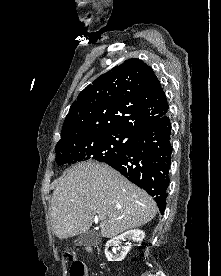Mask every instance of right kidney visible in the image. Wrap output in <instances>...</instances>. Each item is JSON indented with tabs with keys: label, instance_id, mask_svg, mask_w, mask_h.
<instances>
[{
	"label": "right kidney",
	"instance_id": "obj_1",
	"mask_svg": "<svg viewBox=\"0 0 221 276\" xmlns=\"http://www.w3.org/2000/svg\"><path fill=\"white\" fill-rule=\"evenodd\" d=\"M145 237V233L142 230L136 229V230H129L126 231L125 233L119 235L118 237L112 238L106 243V249H105V255L107 257L108 261H122L127 253L131 249V245L129 243H126L125 246L121 248V252L118 256H113L109 251L108 248L111 246H119L122 241H125L126 239L132 240L133 242L140 243Z\"/></svg>",
	"mask_w": 221,
	"mask_h": 276
}]
</instances>
